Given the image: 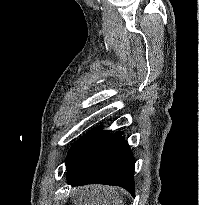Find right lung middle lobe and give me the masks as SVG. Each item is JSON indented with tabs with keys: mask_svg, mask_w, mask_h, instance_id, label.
I'll return each mask as SVG.
<instances>
[{
	"mask_svg": "<svg viewBox=\"0 0 199 205\" xmlns=\"http://www.w3.org/2000/svg\"><path fill=\"white\" fill-rule=\"evenodd\" d=\"M112 135L113 134L109 131H102L100 128H96L88 132L70 149L66 159V168L68 169L73 163H75L85 154L102 145Z\"/></svg>",
	"mask_w": 199,
	"mask_h": 205,
	"instance_id": "dd1d6c3e",
	"label": "right lung middle lobe"
}]
</instances>
